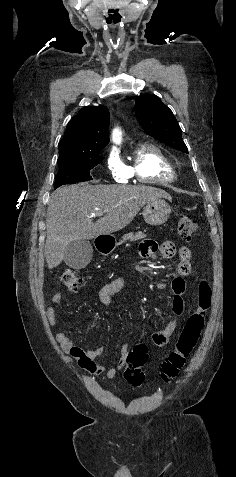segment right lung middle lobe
I'll use <instances>...</instances> for the list:
<instances>
[{"instance_id":"1","label":"right lung middle lobe","mask_w":236,"mask_h":477,"mask_svg":"<svg viewBox=\"0 0 236 477\" xmlns=\"http://www.w3.org/2000/svg\"><path fill=\"white\" fill-rule=\"evenodd\" d=\"M100 152L101 150L58 161L60 169L56 175L54 188H58L64 184H74L91 180L90 169L100 163Z\"/></svg>"}]
</instances>
